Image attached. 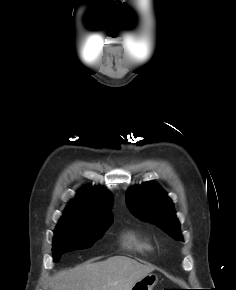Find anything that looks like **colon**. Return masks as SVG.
<instances>
[{"label":"colon","instance_id":"1","mask_svg":"<svg viewBox=\"0 0 236 290\" xmlns=\"http://www.w3.org/2000/svg\"><path fill=\"white\" fill-rule=\"evenodd\" d=\"M163 290H175V289H163Z\"/></svg>","mask_w":236,"mask_h":290}]
</instances>
